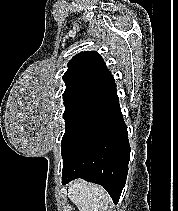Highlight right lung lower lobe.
<instances>
[{
  "label": "right lung lower lobe",
  "instance_id": "98d812e1",
  "mask_svg": "<svg viewBox=\"0 0 178 211\" xmlns=\"http://www.w3.org/2000/svg\"><path fill=\"white\" fill-rule=\"evenodd\" d=\"M62 184L82 178L103 186L114 203L128 173L130 146L117 93L97 102L62 143Z\"/></svg>",
  "mask_w": 178,
  "mask_h": 211
}]
</instances>
